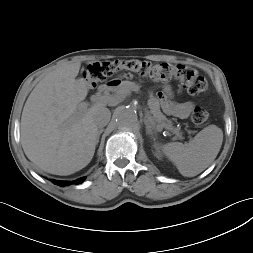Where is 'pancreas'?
<instances>
[{"label": "pancreas", "mask_w": 253, "mask_h": 253, "mask_svg": "<svg viewBox=\"0 0 253 253\" xmlns=\"http://www.w3.org/2000/svg\"><path fill=\"white\" fill-rule=\"evenodd\" d=\"M135 84L126 81L123 82L120 86L112 90V99L115 102L123 101L134 89ZM148 107L150 109V113L153 114L155 121L159 124V126L164 127L173 132L178 131L177 128H173L172 122L168 120L160 110L159 100L155 97H150L148 100Z\"/></svg>", "instance_id": "pancreas-1"}]
</instances>
